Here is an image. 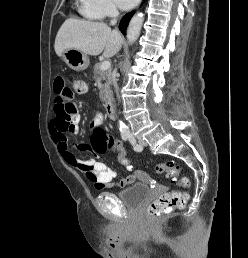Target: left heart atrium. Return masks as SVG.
<instances>
[{
  "mask_svg": "<svg viewBox=\"0 0 248 258\" xmlns=\"http://www.w3.org/2000/svg\"><path fill=\"white\" fill-rule=\"evenodd\" d=\"M117 5L122 9H129L135 6L138 0H115Z\"/></svg>",
  "mask_w": 248,
  "mask_h": 258,
  "instance_id": "39dd6f15",
  "label": "left heart atrium"
}]
</instances>
